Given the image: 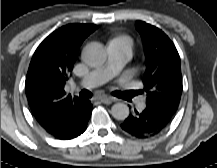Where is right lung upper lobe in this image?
<instances>
[{"mask_svg":"<svg viewBox=\"0 0 217 168\" xmlns=\"http://www.w3.org/2000/svg\"><path fill=\"white\" fill-rule=\"evenodd\" d=\"M97 28L93 24H69L51 33L36 49L25 81L31 111L44 128L66 110L87 100L67 95L64 86L84 39Z\"/></svg>","mask_w":217,"mask_h":168,"instance_id":"cb5924a9","label":"right lung upper lobe"}]
</instances>
